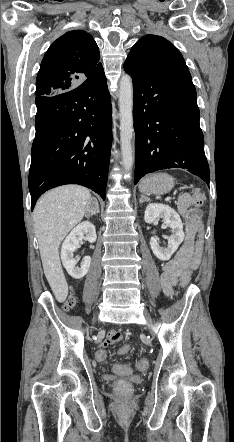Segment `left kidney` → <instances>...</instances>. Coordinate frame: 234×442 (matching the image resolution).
<instances>
[{
  "mask_svg": "<svg viewBox=\"0 0 234 442\" xmlns=\"http://www.w3.org/2000/svg\"><path fill=\"white\" fill-rule=\"evenodd\" d=\"M160 218H162L164 223L172 229L173 234L168 238L167 247H160L158 238L156 237H151L150 246L154 255L159 260L167 261L183 242L185 235L180 216L174 209L165 204H149L145 210V222L151 224L158 221Z\"/></svg>",
  "mask_w": 234,
  "mask_h": 442,
  "instance_id": "1",
  "label": "left kidney"
}]
</instances>
